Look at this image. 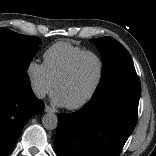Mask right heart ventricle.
<instances>
[{
  "label": "right heart ventricle",
  "instance_id": "e07e8e85",
  "mask_svg": "<svg viewBox=\"0 0 156 156\" xmlns=\"http://www.w3.org/2000/svg\"><path fill=\"white\" fill-rule=\"evenodd\" d=\"M87 49L67 41H59L50 46L44 53V65L55 83L66 70L72 59Z\"/></svg>",
  "mask_w": 156,
  "mask_h": 156
}]
</instances>
